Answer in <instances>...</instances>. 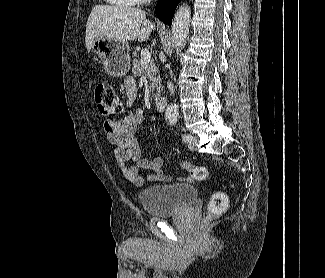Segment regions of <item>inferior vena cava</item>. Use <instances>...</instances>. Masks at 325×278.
<instances>
[{
  "label": "inferior vena cava",
  "mask_w": 325,
  "mask_h": 278,
  "mask_svg": "<svg viewBox=\"0 0 325 278\" xmlns=\"http://www.w3.org/2000/svg\"><path fill=\"white\" fill-rule=\"evenodd\" d=\"M167 87H168L170 93L173 94L174 93V86H173V84L171 82H168L167 83Z\"/></svg>",
  "instance_id": "1"
}]
</instances>
